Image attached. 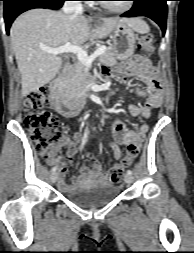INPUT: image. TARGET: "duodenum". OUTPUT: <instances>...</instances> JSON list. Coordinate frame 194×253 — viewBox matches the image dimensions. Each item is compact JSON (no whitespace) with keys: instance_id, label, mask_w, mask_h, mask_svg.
I'll list each match as a JSON object with an SVG mask.
<instances>
[{"instance_id":"obj_1","label":"duodenum","mask_w":194,"mask_h":253,"mask_svg":"<svg viewBox=\"0 0 194 253\" xmlns=\"http://www.w3.org/2000/svg\"><path fill=\"white\" fill-rule=\"evenodd\" d=\"M66 73H60L50 84L51 95L55 103L56 110L65 117H72L79 113L83 106V101L87 100L88 91L93 86V81L89 80L86 85H76L72 89L75 93L74 97L78 99L68 98L63 93V83Z\"/></svg>"}]
</instances>
